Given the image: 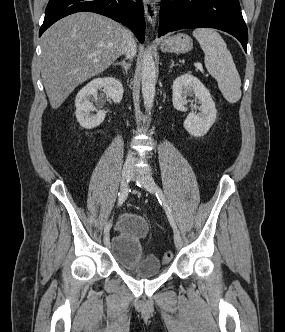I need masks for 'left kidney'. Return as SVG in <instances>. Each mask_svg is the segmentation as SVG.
<instances>
[{"label":"left kidney","instance_id":"obj_1","mask_svg":"<svg viewBox=\"0 0 285 332\" xmlns=\"http://www.w3.org/2000/svg\"><path fill=\"white\" fill-rule=\"evenodd\" d=\"M172 102L175 109L187 111V95L194 93L195 98L201 103L200 113L191 111L184 121V128L194 137L204 136L216 120V107L208 89L199 79L189 73H185L173 82Z\"/></svg>","mask_w":285,"mask_h":332}]
</instances>
